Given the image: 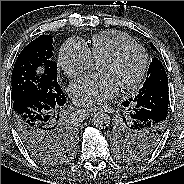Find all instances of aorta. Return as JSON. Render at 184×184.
Segmentation results:
<instances>
[{
  "label": "aorta",
  "instance_id": "obj_1",
  "mask_svg": "<svg viewBox=\"0 0 184 184\" xmlns=\"http://www.w3.org/2000/svg\"><path fill=\"white\" fill-rule=\"evenodd\" d=\"M110 122L111 118L106 112H97L92 117V123L98 129L107 128Z\"/></svg>",
  "mask_w": 184,
  "mask_h": 184
}]
</instances>
